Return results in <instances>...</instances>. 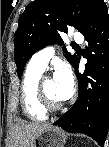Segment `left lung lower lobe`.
<instances>
[{
	"label": "left lung lower lobe",
	"mask_w": 109,
	"mask_h": 147,
	"mask_svg": "<svg viewBox=\"0 0 109 147\" xmlns=\"http://www.w3.org/2000/svg\"><path fill=\"white\" fill-rule=\"evenodd\" d=\"M88 42L86 69L78 72L77 60L74 69L79 84L78 99L70 110L54 125L69 133H83L104 145L109 128V14L103 2L81 30ZM91 76H97L92 83Z\"/></svg>",
	"instance_id": "0a47b994"
}]
</instances>
